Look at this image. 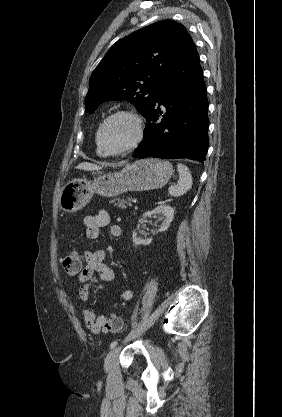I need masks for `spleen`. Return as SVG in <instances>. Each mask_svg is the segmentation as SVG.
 <instances>
[{
	"label": "spleen",
	"instance_id": "3e777b00",
	"mask_svg": "<svg viewBox=\"0 0 282 417\" xmlns=\"http://www.w3.org/2000/svg\"><path fill=\"white\" fill-rule=\"evenodd\" d=\"M177 170L179 172V180L177 184H172V186H169L168 188L171 196H181V194L187 192L192 186V176L188 166L179 162V164H177Z\"/></svg>",
	"mask_w": 282,
	"mask_h": 417
}]
</instances>
